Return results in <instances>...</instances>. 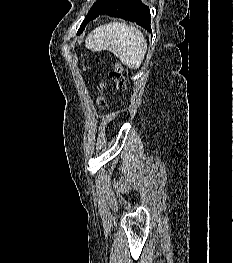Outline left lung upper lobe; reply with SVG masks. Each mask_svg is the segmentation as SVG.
Masks as SVG:
<instances>
[{"label": "left lung upper lobe", "instance_id": "5c2ea615", "mask_svg": "<svg viewBox=\"0 0 233 263\" xmlns=\"http://www.w3.org/2000/svg\"><path fill=\"white\" fill-rule=\"evenodd\" d=\"M115 2H116V0H97L93 4V6L91 7V9L88 12L87 16L85 17L84 21L82 22L80 29L78 30V34H80L84 30L87 23L90 21V19L94 15L103 12L105 9H107L110 5H112Z\"/></svg>", "mask_w": 233, "mask_h": 263}]
</instances>
